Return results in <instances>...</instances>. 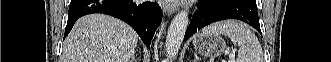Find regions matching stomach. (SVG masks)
Here are the masks:
<instances>
[{"label": "stomach", "instance_id": "obj_1", "mask_svg": "<svg viewBox=\"0 0 331 62\" xmlns=\"http://www.w3.org/2000/svg\"><path fill=\"white\" fill-rule=\"evenodd\" d=\"M193 45L196 52L210 57L220 56L226 49V43L220 35L199 33L193 38Z\"/></svg>", "mask_w": 331, "mask_h": 62}]
</instances>
